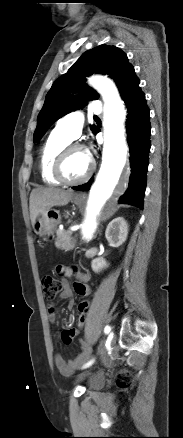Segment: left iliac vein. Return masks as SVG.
<instances>
[{
    "label": "left iliac vein",
    "mask_w": 183,
    "mask_h": 438,
    "mask_svg": "<svg viewBox=\"0 0 183 438\" xmlns=\"http://www.w3.org/2000/svg\"><path fill=\"white\" fill-rule=\"evenodd\" d=\"M114 343H115V341H114V340H112V343H111V344H112V345H114ZM80 376H83V375H80Z\"/></svg>",
    "instance_id": "obj_1"
}]
</instances>
